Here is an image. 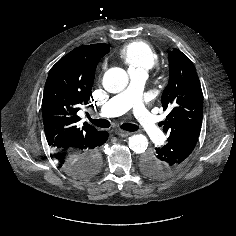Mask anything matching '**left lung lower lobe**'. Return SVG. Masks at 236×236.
<instances>
[{
  "instance_id": "0a47b994",
  "label": "left lung lower lobe",
  "mask_w": 236,
  "mask_h": 236,
  "mask_svg": "<svg viewBox=\"0 0 236 236\" xmlns=\"http://www.w3.org/2000/svg\"><path fill=\"white\" fill-rule=\"evenodd\" d=\"M199 137L198 132H189L168 140L163 147L155 148L143 157L141 168L144 174L163 180L178 173L193 151Z\"/></svg>"
}]
</instances>
